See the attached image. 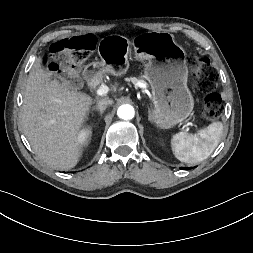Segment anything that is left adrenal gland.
Segmentation results:
<instances>
[{"label": "left adrenal gland", "instance_id": "1", "mask_svg": "<svg viewBox=\"0 0 253 253\" xmlns=\"http://www.w3.org/2000/svg\"><path fill=\"white\" fill-rule=\"evenodd\" d=\"M148 120H149V121H152V119H151V111H150V109H149V117H148Z\"/></svg>", "mask_w": 253, "mask_h": 253}]
</instances>
